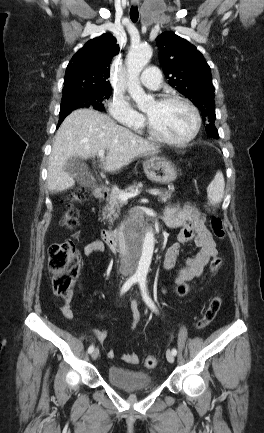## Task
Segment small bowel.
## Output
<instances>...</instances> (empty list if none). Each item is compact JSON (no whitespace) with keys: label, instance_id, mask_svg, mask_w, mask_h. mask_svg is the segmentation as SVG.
Listing matches in <instances>:
<instances>
[{"label":"small bowel","instance_id":"small-bowel-1","mask_svg":"<svg viewBox=\"0 0 264 433\" xmlns=\"http://www.w3.org/2000/svg\"><path fill=\"white\" fill-rule=\"evenodd\" d=\"M164 219L170 227H181V231L177 237V241L170 246L164 255L162 265L165 269L170 270L175 268L179 259L182 248L193 243L198 252L194 257L186 261V266L179 269L175 283L189 282L199 277L210 259L217 255V248L211 233L205 225V216L193 204L185 203L182 206L168 207L164 211ZM105 250L104 243L100 239H96L86 245L83 249L85 256L103 253ZM81 289V284H78ZM72 294L70 293L64 298L61 311L65 318L71 320L75 312L70 306ZM141 319L138 314L134 315V323H140ZM97 341L103 343L108 335L106 329H94L92 331ZM109 357H115L114 351L108 352ZM121 359L130 364H137L139 358L135 354H124Z\"/></svg>","mask_w":264,"mask_h":433}]
</instances>
